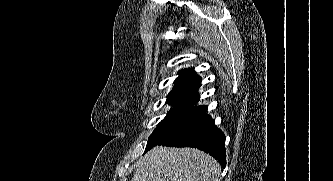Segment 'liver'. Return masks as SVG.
I'll return each mask as SVG.
<instances>
[{
	"label": "liver",
	"mask_w": 333,
	"mask_h": 181,
	"mask_svg": "<svg viewBox=\"0 0 333 181\" xmlns=\"http://www.w3.org/2000/svg\"><path fill=\"white\" fill-rule=\"evenodd\" d=\"M221 167L194 148L156 146L137 164L131 181H220Z\"/></svg>",
	"instance_id": "obj_1"
}]
</instances>
